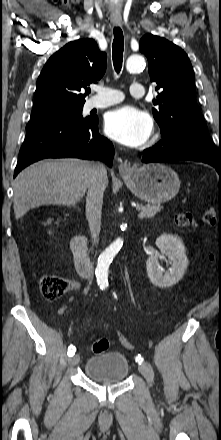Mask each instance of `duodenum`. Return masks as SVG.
I'll use <instances>...</instances> for the list:
<instances>
[{
    "instance_id": "duodenum-1",
    "label": "duodenum",
    "mask_w": 221,
    "mask_h": 440,
    "mask_svg": "<svg viewBox=\"0 0 221 440\" xmlns=\"http://www.w3.org/2000/svg\"><path fill=\"white\" fill-rule=\"evenodd\" d=\"M71 250L74 255L75 268L82 277L92 273V262L87 250V240L84 235L77 234L72 238Z\"/></svg>"
}]
</instances>
